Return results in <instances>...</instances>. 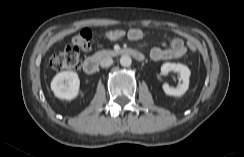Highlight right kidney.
<instances>
[{
	"label": "right kidney",
	"mask_w": 244,
	"mask_h": 157,
	"mask_svg": "<svg viewBox=\"0 0 244 157\" xmlns=\"http://www.w3.org/2000/svg\"><path fill=\"white\" fill-rule=\"evenodd\" d=\"M80 80L78 74L73 71L58 73L51 82V90L55 97L61 100L71 101L79 94Z\"/></svg>",
	"instance_id": "ca27d5eb"
}]
</instances>
